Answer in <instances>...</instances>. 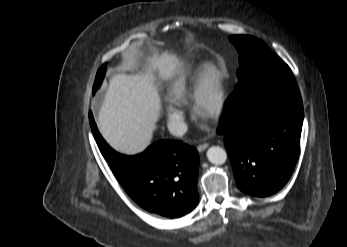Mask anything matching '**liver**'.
I'll list each match as a JSON object with an SVG mask.
<instances>
[{
  "label": "liver",
  "instance_id": "1",
  "mask_svg": "<svg viewBox=\"0 0 347 247\" xmlns=\"http://www.w3.org/2000/svg\"><path fill=\"white\" fill-rule=\"evenodd\" d=\"M179 66L176 55L164 51L154 55L147 73H120L111 77L97 126L114 150L137 155L151 144L161 111L153 72L157 71L161 79H169Z\"/></svg>",
  "mask_w": 347,
  "mask_h": 247
}]
</instances>
